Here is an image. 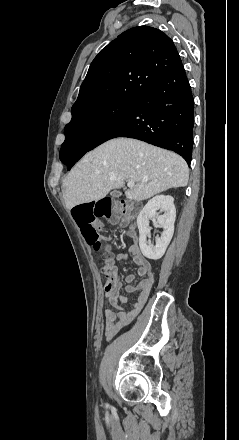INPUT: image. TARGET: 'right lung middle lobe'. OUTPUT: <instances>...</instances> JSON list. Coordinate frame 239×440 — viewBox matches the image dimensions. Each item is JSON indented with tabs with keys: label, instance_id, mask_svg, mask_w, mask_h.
I'll use <instances>...</instances> for the list:
<instances>
[{
	"label": "right lung middle lobe",
	"instance_id": "obj_1",
	"mask_svg": "<svg viewBox=\"0 0 239 440\" xmlns=\"http://www.w3.org/2000/svg\"><path fill=\"white\" fill-rule=\"evenodd\" d=\"M137 98L119 96L72 115L65 127V141L61 152L67 148L86 150L106 129L120 120Z\"/></svg>",
	"mask_w": 239,
	"mask_h": 440
}]
</instances>
